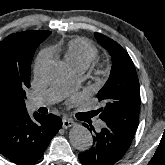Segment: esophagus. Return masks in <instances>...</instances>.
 Instances as JSON below:
<instances>
[{"instance_id":"34e87169","label":"esophagus","mask_w":165,"mask_h":165,"mask_svg":"<svg viewBox=\"0 0 165 165\" xmlns=\"http://www.w3.org/2000/svg\"><path fill=\"white\" fill-rule=\"evenodd\" d=\"M62 125H63V128L67 129V128L73 126L74 125V122L71 119L63 118Z\"/></svg>"}]
</instances>
